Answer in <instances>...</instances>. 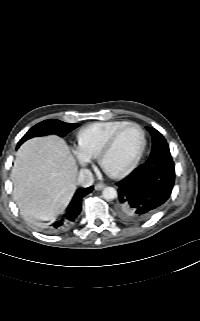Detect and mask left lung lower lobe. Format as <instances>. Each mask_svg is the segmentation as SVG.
Segmentation results:
<instances>
[{
	"label": "left lung lower lobe",
	"mask_w": 200,
	"mask_h": 321,
	"mask_svg": "<svg viewBox=\"0 0 200 321\" xmlns=\"http://www.w3.org/2000/svg\"><path fill=\"white\" fill-rule=\"evenodd\" d=\"M175 182L173 161L144 163L117 183V213L128 223L146 221L170 197Z\"/></svg>",
	"instance_id": "0a47b994"
}]
</instances>
